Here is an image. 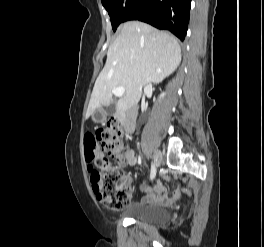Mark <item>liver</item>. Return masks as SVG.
<instances>
[{
  "instance_id": "liver-1",
  "label": "liver",
  "mask_w": 264,
  "mask_h": 247,
  "mask_svg": "<svg viewBox=\"0 0 264 247\" xmlns=\"http://www.w3.org/2000/svg\"><path fill=\"white\" fill-rule=\"evenodd\" d=\"M181 62V49L175 37L145 23H124L107 52L106 64L99 74L88 105L87 114L108 106L112 89L124 87L117 102V111L136 105L142 88L160 83L175 71Z\"/></svg>"
}]
</instances>
